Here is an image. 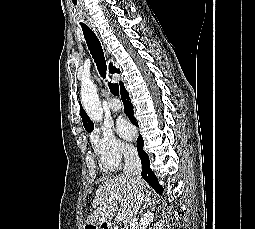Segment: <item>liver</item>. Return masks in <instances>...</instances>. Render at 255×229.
Returning <instances> with one entry per match:
<instances>
[{"instance_id": "obj_1", "label": "liver", "mask_w": 255, "mask_h": 229, "mask_svg": "<svg viewBox=\"0 0 255 229\" xmlns=\"http://www.w3.org/2000/svg\"><path fill=\"white\" fill-rule=\"evenodd\" d=\"M136 190L144 196L145 201L151 193L149 185L141 177H137L136 183L126 178L125 175L104 178L96 191L92 203L94 211L88 218L87 224L110 223L119 206L124 214L125 223L130 222L138 195ZM112 196H120V199L109 202L108 199Z\"/></svg>"}]
</instances>
